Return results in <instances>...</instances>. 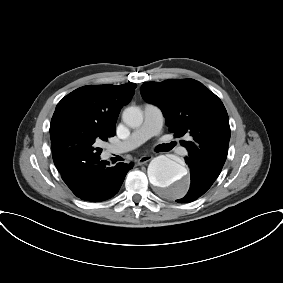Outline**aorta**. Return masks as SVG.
I'll return each instance as SVG.
<instances>
[{
	"instance_id": "762f6f07",
	"label": "aorta",
	"mask_w": 283,
	"mask_h": 283,
	"mask_svg": "<svg viewBox=\"0 0 283 283\" xmlns=\"http://www.w3.org/2000/svg\"><path fill=\"white\" fill-rule=\"evenodd\" d=\"M125 124L135 128L143 122V113L139 107H127L122 114ZM148 178L152 185L167 189L172 198L183 197L189 188V179L184 166L166 155L151 160L148 166Z\"/></svg>"
}]
</instances>
